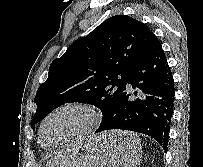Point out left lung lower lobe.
Listing matches in <instances>:
<instances>
[{
	"label": "left lung lower lobe",
	"instance_id": "1",
	"mask_svg": "<svg viewBox=\"0 0 203 167\" xmlns=\"http://www.w3.org/2000/svg\"><path fill=\"white\" fill-rule=\"evenodd\" d=\"M174 100L173 75L157 40L130 70L125 91L108 120L96 132L109 129L140 132L167 149ZM118 145L119 142H104L100 146L116 150Z\"/></svg>",
	"mask_w": 203,
	"mask_h": 167
}]
</instances>
